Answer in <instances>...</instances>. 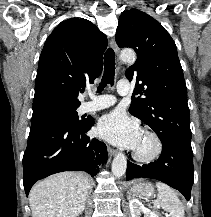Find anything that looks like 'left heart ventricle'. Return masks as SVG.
I'll return each instance as SVG.
<instances>
[{"instance_id": "left-heart-ventricle-1", "label": "left heart ventricle", "mask_w": 211, "mask_h": 217, "mask_svg": "<svg viewBox=\"0 0 211 217\" xmlns=\"http://www.w3.org/2000/svg\"><path fill=\"white\" fill-rule=\"evenodd\" d=\"M152 148H153L152 141L149 138L142 136L140 143L135 150H137L140 153L146 154L149 153L152 150Z\"/></svg>"}]
</instances>
